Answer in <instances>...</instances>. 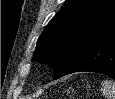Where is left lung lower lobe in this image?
I'll return each mask as SVG.
<instances>
[{
	"label": "left lung lower lobe",
	"instance_id": "left-lung-lower-lobe-1",
	"mask_svg": "<svg viewBox=\"0 0 115 99\" xmlns=\"http://www.w3.org/2000/svg\"><path fill=\"white\" fill-rule=\"evenodd\" d=\"M79 71L96 72L115 79V26L95 41L64 75Z\"/></svg>",
	"mask_w": 115,
	"mask_h": 99
}]
</instances>
